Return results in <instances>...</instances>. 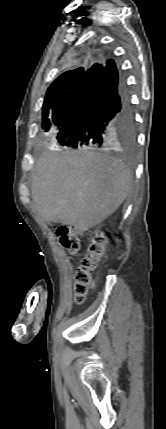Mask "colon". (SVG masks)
I'll list each match as a JSON object with an SVG mask.
<instances>
[{
	"label": "colon",
	"instance_id": "1",
	"mask_svg": "<svg viewBox=\"0 0 166 429\" xmlns=\"http://www.w3.org/2000/svg\"><path fill=\"white\" fill-rule=\"evenodd\" d=\"M60 244L70 254H76L81 248V239L76 229L61 225L57 228ZM108 254V239L103 232H97L91 240L87 253L82 258L75 275V302L83 303L93 286L92 274L99 263Z\"/></svg>",
	"mask_w": 166,
	"mask_h": 429
}]
</instances>
